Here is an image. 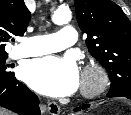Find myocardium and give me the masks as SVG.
Returning a JSON list of instances; mask_svg holds the SVG:
<instances>
[{
    "mask_svg": "<svg viewBox=\"0 0 131 115\" xmlns=\"http://www.w3.org/2000/svg\"><path fill=\"white\" fill-rule=\"evenodd\" d=\"M109 85V75L106 69L97 62L85 65L82 72L81 95L94 98L102 94Z\"/></svg>",
    "mask_w": 131,
    "mask_h": 115,
    "instance_id": "1",
    "label": "myocardium"
}]
</instances>
